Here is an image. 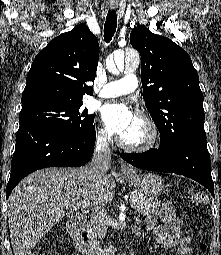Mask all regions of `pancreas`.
I'll list each match as a JSON object with an SVG mask.
<instances>
[{
	"label": "pancreas",
	"instance_id": "1",
	"mask_svg": "<svg viewBox=\"0 0 221 255\" xmlns=\"http://www.w3.org/2000/svg\"><path fill=\"white\" fill-rule=\"evenodd\" d=\"M130 198L132 202H135L134 209L142 215L157 212L161 205V201L154 198L149 199L138 191L130 192Z\"/></svg>",
	"mask_w": 221,
	"mask_h": 255
}]
</instances>
